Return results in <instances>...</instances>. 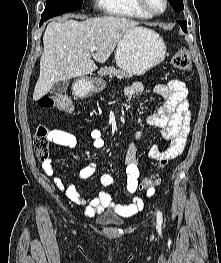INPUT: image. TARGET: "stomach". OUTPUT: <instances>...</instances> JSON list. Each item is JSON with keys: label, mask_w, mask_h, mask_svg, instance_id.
<instances>
[{"label": "stomach", "mask_w": 221, "mask_h": 263, "mask_svg": "<svg viewBox=\"0 0 221 263\" xmlns=\"http://www.w3.org/2000/svg\"><path fill=\"white\" fill-rule=\"evenodd\" d=\"M163 39L149 29H133L123 35L118 43L115 60L117 66L130 74L143 75L166 56ZM85 92H93L100 88V80L84 81Z\"/></svg>", "instance_id": "stomach-1"}]
</instances>
